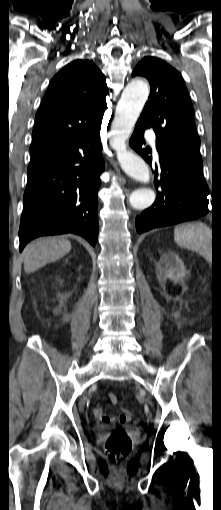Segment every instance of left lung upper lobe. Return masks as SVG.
Returning <instances> with one entry per match:
<instances>
[{
  "label": "left lung upper lobe",
  "mask_w": 221,
  "mask_h": 510,
  "mask_svg": "<svg viewBox=\"0 0 221 510\" xmlns=\"http://www.w3.org/2000/svg\"><path fill=\"white\" fill-rule=\"evenodd\" d=\"M148 79L151 91L139 121L152 127L159 141L202 161L195 129L193 106L177 70L156 57H145L132 76Z\"/></svg>",
  "instance_id": "obj_1"
}]
</instances>
